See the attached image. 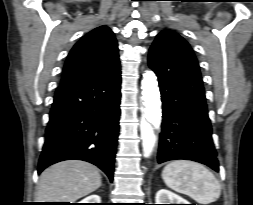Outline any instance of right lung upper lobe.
I'll use <instances>...</instances> for the list:
<instances>
[{"mask_svg":"<svg viewBox=\"0 0 253 205\" xmlns=\"http://www.w3.org/2000/svg\"><path fill=\"white\" fill-rule=\"evenodd\" d=\"M119 63L114 33L100 26L81 38L70 51L61 85L105 72Z\"/></svg>","mask_w":253,"mask_h":205,"instance_id":"1","label":"right lung upper lobe"}]
</instances>
